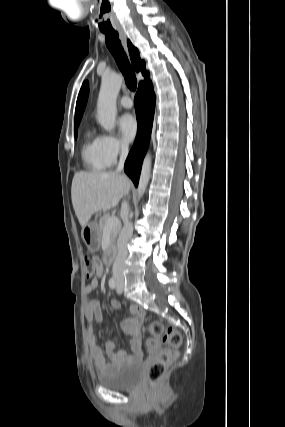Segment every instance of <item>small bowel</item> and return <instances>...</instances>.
Segmentation results:
<instances>
[{
	"mask_svg": "<svg viewBox=\"0 0 285 427\" xmlns=\"http://www.w3.org/2000/svg\"><path fill=\"white\" fill-rule=\"evenodd\" d=\"M93 260L97 265L96 277H93L86 285L85 292L87 294L91 293L98 287V279L103 274V264L101 260L99 258H94ZM110 306L116 310H120L122 308V304L117 300L110 301ZM130 313L132 314V317L123 320L121 323L122 330L130 336V353H127L124 350H117L114 341L107 340L104 344L106 356L110 360V362H107L101 348L96 343L91 326L93 320H96L99 323L103 322L101 305L97 299H88L85 310V318L89 324L87 331V343L90 357L99 371L105 373L114 372L116 369L126 364L139 361L142 358V338L140 331L145 311L139 306L132 305L130 307Z\"/></svg>",
	"mask_w": 285,
	"mask_h": 427,
	"instance_id": "obj_1",
	"label": "small bowel"
}]
</instances>
